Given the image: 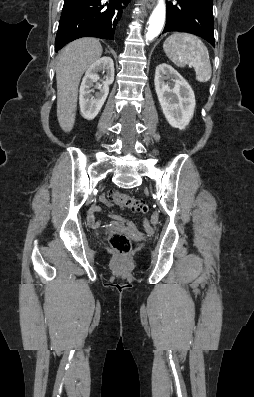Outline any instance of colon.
<instances>
[{
    "mask_svg": "<svg viewBox=\"0 0 254 397\" xmlns=\"http://www.w3.org/2000/svg\"><path fill=\"white\" fill-rule=\"evenodd\" d=\"M110 197L113 202L120 207L128 208L138 213L148 212V206L144 201L128 194L113 192L110 194ZM108 239L111 247L120 255H127L132 248L131 240L122 232L111 231Z\"/></svg>",
    "mask_w": 254,
    "mask_h": 397,
    "instance_id": "5ec220e1",
    "label": "colon"
}]
</instances>
